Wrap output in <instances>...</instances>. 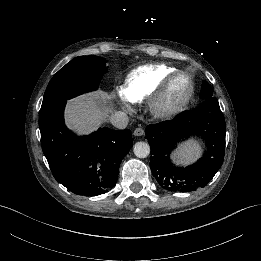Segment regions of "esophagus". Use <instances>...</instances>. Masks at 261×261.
I'll return each mask as SVG.
<instances>
[{"instance_id":"1","label":"esophagus","mask_w":261,"mask_h":261,"mask_svg":"<svg viewBox=\"0 0 261 261\" xmlns=\"http://www.w3.org/2000/svg\"><path fill=\"white\" fill-rule=\"evenodd\" d=\"M133 134L137 137H140L142 135H144V129L143 128H136L134 131H133Z\"/></svg>"}]
</instances>
